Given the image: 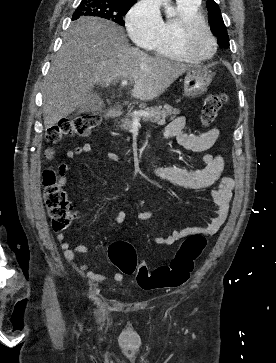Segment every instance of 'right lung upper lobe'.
Returning a JSON list of instances; mask_svg holds the SVG:
<instances>
[{
	"label": "right lung upper lobe",
	"mask_w": 276,
	"mask_h": 363,
	"mask_svg": "<svg viewBox=\"0 0 276 363\" xmlns=\"http://www.w3.org/2000/svg\"><path fill=\"white\" fill-rule=\"evenodd\" d=\"M117 1L133 2V3H135V2H136V0H117Z\"/></svg>",
	"instance_id": "obj_1"
}]
</instances>
